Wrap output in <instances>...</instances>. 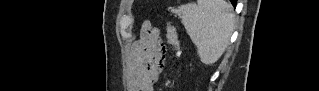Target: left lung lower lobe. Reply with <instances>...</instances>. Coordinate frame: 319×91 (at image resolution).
Returning <instances> with one entry per match:
<instances>
[{
    "instance_id": "0a47b994",
    "label": "left lung lower lobe",
    "mask_w": 319,
    "mask_h": 91,
    "mask_svg": "<svg viewBox=\"0 0 319 91\" xmlns=\"http://www.w3.org/2000/svg\"><path fill=\"white\" fill-rule=\"evenodd\" d=\"M230 1L233 4V6L235 7L236 6V0H230Z\"/></svg>"
}]
</instances>
